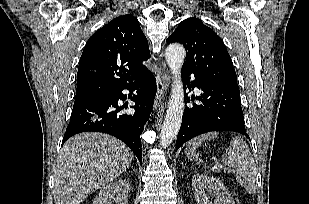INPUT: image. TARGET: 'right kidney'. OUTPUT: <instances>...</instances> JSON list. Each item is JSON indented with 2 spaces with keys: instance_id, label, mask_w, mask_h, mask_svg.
Instances as JSON below:
<instances>
[{
  "instance_id": "obj_1",
  "label": "right kidney",
  "mask_w": 309,
  "mask_h": 204,
  "mask_svg": "<svg viewBox=\"0 0 309 204\" xmlns=\"http://www.w3.org/2000/svg\"><path fill=\"white\" fill-rule=\"evenodd\" d=\"M128 190L129 183L127 181H115L100 190L93 204H127Z\"/></svg>"
}]
</instances>
